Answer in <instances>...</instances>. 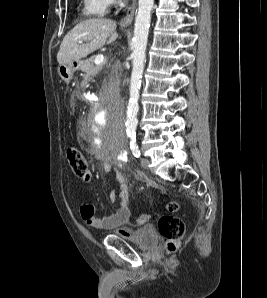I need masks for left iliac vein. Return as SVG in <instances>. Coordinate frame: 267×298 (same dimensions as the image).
<instances>
[{"mask_svg": "<svg viewBox=\"0 0 267 298\" xmlns=\"http://www.w3.org/2000/svg\"><path fill=\"white\" fill-rule=\"evenodd\" d=\"M141 166L144 169H148V167H149V160L147 158H142L141 159Z\"/></svg>", "mask_w": 267, "mask_h": 298, "instance_id": "obj_1", "label": "left iliac vein"}]
</instances>
